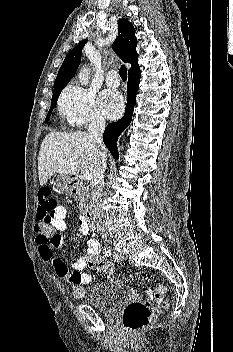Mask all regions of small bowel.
Masks as SVG:
<instances>
[{
    "instance_id": "1",
    "label": "small bowel",
    "mask_w": 233,
    "mask_h": 352,
    "mask_svg": "<svg viewBox=\"0 0 233 352\" xmlns=\"http://www.w3.org/2000/svg\"><path fill=\"white\" fill-rule=\"evenodd\" d=\"M66 214L67 208L58 204L57 199L53 195V190L50 187L44 186L39 189L37 220H48L55 231L63 232L67 228L65 221ZM76 229L81 234H87L89 231V228L83 218H80L79 223L76 225ZM63 244L64 238L62 236L58 242L43 241L37 238L40 256L44 261L51 262L58 277L68 282L71 287V277L75 274H79L81 276L83 284L90 283L92 276L88 273H82V270L87 267L85 260L86 255L99 254V243L94 239L88 240L85 255L74 262L70 268L62 258L54 256V252L61 249Z\"/></svg>"
}]
</instances>
